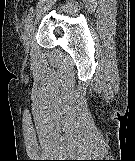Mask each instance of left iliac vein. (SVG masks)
<instances>
[{"mask_svg": "<svg viewBox=\"0 0 135 161\" xmlns=\"http://www.w3.org/2000/svg\"><path fill=\"white\" fill-rule=\"evenodd\" d=\"M33 35H34V23L32 22L27 26L23 34V45L25 47L26 53L29 52Z\"/></svg>", "mask_w": 135, "mask_h": 161, "instance_id": "4c4485c4", "label": "left iliac vein"}]
</instances>
